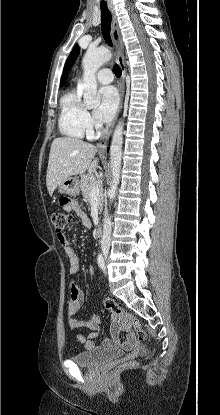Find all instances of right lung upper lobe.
Instances as JSON below:
<instances>
[{
    "instance_id": "1",
    "label": "right lung upper lobe",
    "mask_w": 220,
    "mask_h": 415,
    "mask_svg": "<svg viewBox=\"0 0 220 415\" xmlns=\"http://www.w3.org/2000/svg\"><path fill=\"white\" fill-rule=\"evenodd\" d=\"M67 79V73H64L63 75H62V78H61V84H63L64 82H65V80Z\"/></svg>"
}]
</instances>
